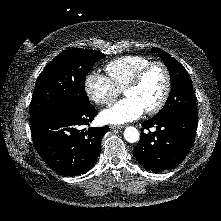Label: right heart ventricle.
Instances as JSON below:
<instances>
[{"mask_svg": "<svg viewBox=\"0 0 221 221\" xmlns=\"http://www.w3.org/2000/svg\"><path fill=\"white\" fill-rule=\"evenodd\" d=\"M151 60L141 55H126L108 62L105 71L111 82L118 88L124 89L134 74Z\"/></svg>", "mask_w": 221, "mask_h": 221, "instance_id": "1", "label": "right heart ventricle"}]
</instances>
